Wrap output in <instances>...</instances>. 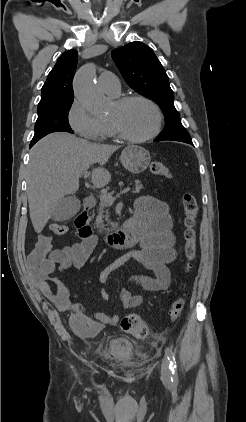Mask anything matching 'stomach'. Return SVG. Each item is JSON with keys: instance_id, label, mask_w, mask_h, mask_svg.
Here are the masks:
<instances>
[{"instance_id": "obj_1", "label": "stomach", "mask_w": 246, "mask_h": 422, "mask_svg": "<svg viewBox=\"0 0 246 422\" xmlns=\"http://www.w3.org/2000/svg\"><path fill=\"white\" fill-rule=\"evenodd\" d=\"M150 161L149 152L138 145H128L121 153L122 165L133 174L143 172Z\"/></svg>"}]
</instances>
